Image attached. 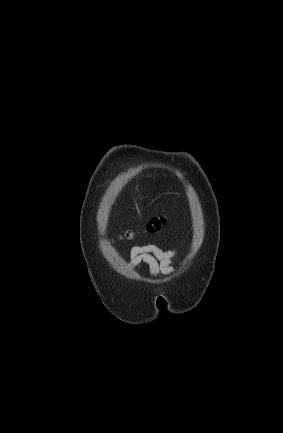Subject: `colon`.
Wrapping results in <instances>:
<instances>
[{
	"label": "colon",
	"mask_w": 283,
	"mask_h": 433,
	"mask_svg": "<svg viewBox=\"0 0 283 433\" xmlns=\"http://www.w3.org/2000/svg\"><path fill=\"white\" fill-rule=\"evenodd\" d=\"M163 224H164L163 218H153L147 223L146 229L149 232H154L159 230Z\"/></svg>",
	"instance_id": "5ec220e1"
}]
</instances>
